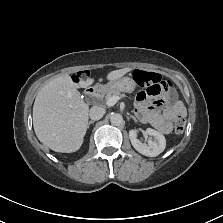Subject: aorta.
Masks as SVG:
<instances>
[{
  "label": "aorta",
  "mask_w": 223,
  "mask_h": 223,
  "mask_svg": "<svg viewBox=\"0 0 223 223\" xmlns=\"http://www.w3.org/2000/svg\"><path fill=\"white\" fill-rule=\"evenodd\" d=\"M110 121L114 125H120L123 123L121 114L115 113L110 116Z\"/></svg>",
  "instance_id": "1"
}]
</instances>
